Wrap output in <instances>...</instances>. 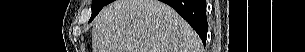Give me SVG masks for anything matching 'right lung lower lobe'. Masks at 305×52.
I'll return each mask as SVG.
<instances>
[{
	"mask_svg": "<svg viewBox=\"0 0 305 52\" xmlns=\"http://www.w3.org/2000/svg\"><path fill=\"white\" fill-rule=\"evenodd\" d=\"M173 7L206 42L208 23L206 18L205 0H161ZM111 2V1H110ZM109 2V3H110Z\"/></svg>",
	"mask_w": 305,
	"mask_h": 52,
	"instance_id": "right-lung-lower-lobe-1",
	"label": "right lung lower lobe"
}]
</instances>
